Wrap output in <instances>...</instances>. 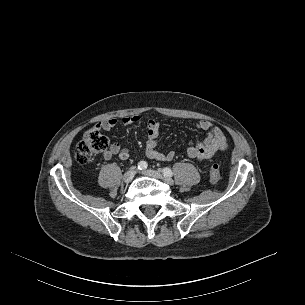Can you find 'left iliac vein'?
<instances>
[{"instance_id":"4c4485c4","label":"left iliac vein","mask_w":305,"mask_h":305,"mask_svg":"<svg viewBox=\"0 0 305 305\" xmlns=\"http://www.w3.org/2000/svg\"><path fill=\"white\" fill-rule=\"evenodd\" d=\"M142 174L162 180L163 182H165L166 184H168L170 186H172L174 184V181L171 178L165 177L163 175V173L160 171L149 169V170L142 171Z\"/></svg>"}]
</instances>
